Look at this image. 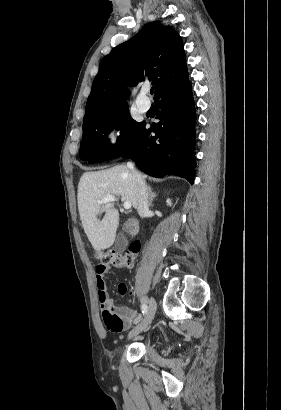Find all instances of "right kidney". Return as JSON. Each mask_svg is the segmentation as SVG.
<instances>
[{
    "label": "right kidney",
    "instance_id": "right-kidney-1",
    "mask_svg": "<svg viewBox=\"0 0 281 410\" xmlns=\"http://www.w3.org/2000/svg\"><path fill=\"white\" fill-rule=\"evenodd\" d=\"M166 202H167V205L171 206L172 203H171V200H170V199H167Z\"/></svg>",
    "mask_w": 281,
    "mask_h": 410
}]
</instances>
